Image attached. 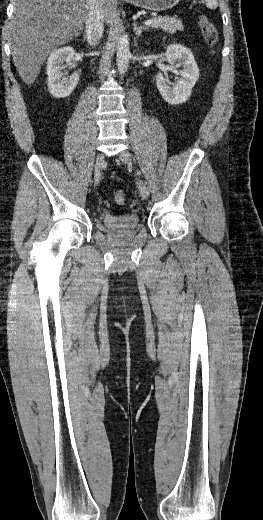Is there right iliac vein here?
Segmentation results:
<instances>
[{
  "instance_id": "63e3f726",
  "label": "right iliac vein",
  "mask_w": 263,
  "mask_h": 520,
  "mask_svg": "<svg viewBox=\"0 0 263 520\" xmlns=\"http://www.w3.org/2000/svg\"><path fill=\"white\" fill-rule=\"evenodd\" d=\"M104 165V156L103 154H98L95 161L94 167V185L97 186L101 179V172Z\"/></svg>"
}]
</instances>
